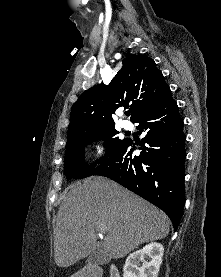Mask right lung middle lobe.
Returning a JSON list of instances; mask_svg holds the SVG:
<instances>
[{
    "mask_svg": "<svg viewBox=\"0 0 221 277\" xmlns=\"http://www.w3.org/2000/svg\"><path fill=\"white\" fill-rule=\"evenodd\" d=\"M118 133L114 125H109L82 131L68 138L64 161L67 179L91 176L95 164L89 167L88 164L84 162L85 147L96 140H104V147L107 149L106 157L111 156L117 148L127 140L119 139L117 137ZM103 160L104 158H101L98 163H101Z\"/></svg>",
    "mask_w": 221,
    "mask_h": 277,
    "instance_id": "obj_1",
    "label": "right lung middle lobe"
}]
</instances>
